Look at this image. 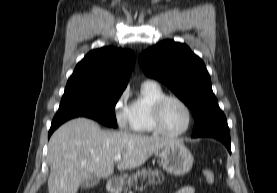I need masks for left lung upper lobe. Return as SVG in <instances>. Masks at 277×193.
<instances>
[{"label": "left lung upper lobe", "mask_w": 277, "mask_h": 193, "mask_svg": "<svg viewBox=\"0 0 277 193\" xmlns=\"http://www.w3.org/2000/svg\"><path fill=\"white\" fill-rule=\"evenodd\" d=\"M144 73L168 86L193 112L194 134L226 122L203 61L190 48L163 41L139 56Z\"/></svg>", "instance_id": "5c2ea615"}]
</instances>
